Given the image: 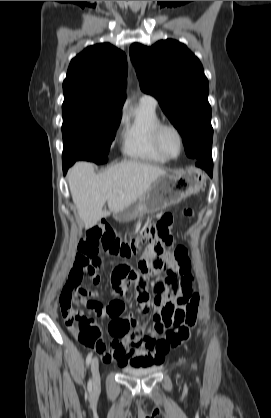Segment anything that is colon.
<instances>
[{"label": "colon", "mask_w": 271, "mask_h": 418, "mask_svg": "<svg viewBox=\"0 0 271 418\" xmlns=\"http://www.w3.org/2000/svg\"><path fill=\"white\" fill-rule=\"evenodd\" d=\"M193 214L192 209L185 210L186 216L191 217ZM171 223V215L165 214L149 226L139 238L132 239L130 242H125L118 237L113 227L106 221L87 230L85 237L78 244L75 261L59 298L65 325L82 345L96 350L105 345L103 333L94 319L74 306L82 299L81 282L84 279L92 282L97 279V267L102 266L99 258L100 249L102 248L112 256L130 257L139 249L140 244L146 241L149 243L160 241L168 248L172 243L169 230ZM174 258L179 265L182 280L187 281L191 277V267L186 249L178 247L174 252ZM198 305L199 295L193 291H187V301L183 306L179 305L175 310L172 308L163 310L161 314L163 323L157 328V333L162 336L157 344L158 349L175 348L189 339L197 321Z\"/></svg>", "instance_id": "5ec220e1"}]
</instances>
